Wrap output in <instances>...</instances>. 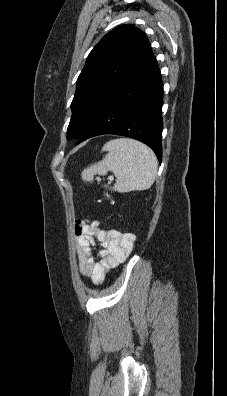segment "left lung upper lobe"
<instances>
[{
	"label": "left lung upper lobe",
	"instance_id": "5c2ea615",
	"mask_svg": "<svg viewBox=\"0 0 227 396\" xmlns=\"http://www.w3.org/2000/svg\"><path fill=\"white\" fill-rule=\"evenodd\" d=\"M152 53L146 35L134 25H120L90 52L77 79L67 139H78L103 99Z\"/></svg>",
	"mask_w": 227,
	"mask_h": 396
}]
</instances>
